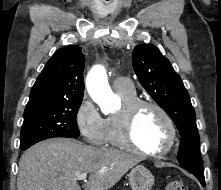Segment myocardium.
I'll return each mask as SVG.
<instances>
[{
	"label": "myocardium",
	"instance_id": "obj_1",
	"mask_svg": "<svg viewBox=\"0 0 221 190\" xmlns=\"http://www.w3.org/2000/svg\"><path fill=\"white\" fill-rule=\"evenodd\" d=\"M145 106L152 107L158 111L168 128V141L164 147L157 150H145L140 148L136 145L132 136L134 117L138 110ZM117 119L120 141L122 146L127 150L144 156L156 157L169 153L176 143L177 131L173 119L160 104L152 100L137 98L133 101L124 102L122 108L117 113Z\"/></svg>",
	"mask_w": 221,
	"mask_h": 190
}]
</instances>
